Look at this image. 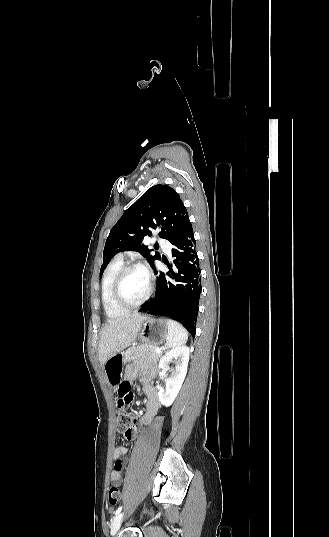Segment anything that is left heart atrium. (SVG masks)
<instances>
[{"mask_svg":"<svg viewBox=\"0 0 329 537\" xmlns=\"http://www.w3.org/2000/svg\"><path fill=\"white\" fill-rule=\"evenodd\" d=\"M142 271L147 275V270L145 268H143Z\"/></svg>","mask_w":329,"mask_h":537,"instance_id":"left-heart-atrium-1","label":"left heart atrium"}]
</instances>
